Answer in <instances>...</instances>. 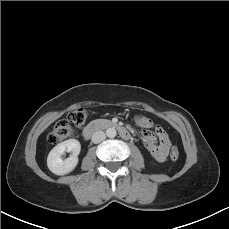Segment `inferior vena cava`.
Segmentation results:
<instances>
[{"label": "inferior vena cava", "mask_w": 229, "mask_h": 229, "mask_svg": "<svg viewBox=\"0 0 229 229\" xmlns=\"http://www.w3.org/2000/svg\"><path fill=\"white\" fill-rule=\"evenodd\" d=\"M105 138H106V135L103 131H96L92 135V142L97 144V143L102 142Z\"/></svg>", "instance_id": "602c4592"}]
</instances>
